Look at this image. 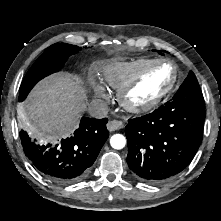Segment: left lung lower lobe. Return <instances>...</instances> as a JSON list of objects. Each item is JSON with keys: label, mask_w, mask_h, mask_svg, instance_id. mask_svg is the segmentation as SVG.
I'll list each match as a JSON object with an SVG mask.
<instances>
[{"label": "left lung lower lobe", "mask_w": 221, "mask_h": 221, "mask_svg": "<svg viewBox=\"0 0 221 221\" xmlns=\"http://www.w3.org/2000/svg\"><path fill=\"white\" fill-rule=\"evenodd\" d=\"M205 110L170 102L125 127L127 163L141 180L162 183L183 171L202 142Z\"/></svg>", "instance_id": "0a47b994"}]
</instances>
